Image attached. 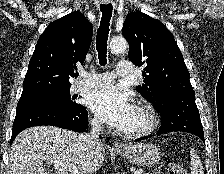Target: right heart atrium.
I'll list each match as a JSON object with an SVG mask.
<instances>
[{"label":"right heart atrium","instance_id":"d8ad5b80","mask_svg":"<svg viewBox=\"0 0 224 174\" xmlns=\"http://www.w3.org/2000/svg\"><path fill=\"white\" fill-rule=\"evenodd\" d=\"M92 124L95 126V127H100L101 126V121L97 118V117H94L92 119Z\"/></svg>","mask_w":224,"mask_h":174}]
</instances>
